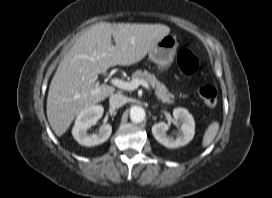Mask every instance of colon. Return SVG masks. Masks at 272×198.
<instances>
[{
	"label": "colon",
	"instance_id": "1",
	"mask_svg": "<svg viewBox=\"0 0 272 198\" xmlns=\"http://www.w3.org/2000/svg\"><path fill=\"white\" fill-rule=\"evenodd\" d=\"M180 70L186 75H193L199 68V61L196 55L188 48H181L176 56ZM199 97L208 108L217 104V90L212 85H205L199 89Z\"/></svg>",
	"mask_w": 272,
	"mask_h": 198
}]
</instances>
